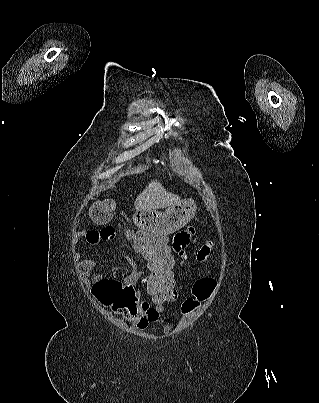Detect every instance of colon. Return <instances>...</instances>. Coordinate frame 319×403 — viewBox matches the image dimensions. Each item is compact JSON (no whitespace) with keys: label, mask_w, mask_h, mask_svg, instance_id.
I'll use <instances>...</instances> for the list:
<instances>
[{"label":"colon","mask_w":319,"mask_h":403,"mask_svg":"<svg viewBox=\"0 0 319 403\" xmlns=\"http://www.w3.org/2000/svg\"><path fill=\"white\" fill-rule=\"evenodd\" d=\"M95 206L91 211V219L96 222L106 221L112 211L113 199L103 197L95 199ZM114 239V238H113ZM132 243V253L138 254L140 260H144V267L147 270L146 276L149 282H146L147 296L151 304H173L175 299L176 273L173 268H177L178 262L172 259L171 252H166L169 248V234H139L138 230H133L130 235ZM213 253L212 245H199L194 250V257L199 258L195 261V268L192 270L194 275L199 270L206 269V262L210 260V254ZM216 287L211 276H195L193 295L183 296L182 308L176 309L177 317H187L195 315L200 308H206L211 290ZM185 323H190V318H185Z\"/></svg>","instance_id":"5ec220e1"}]
</instances>
